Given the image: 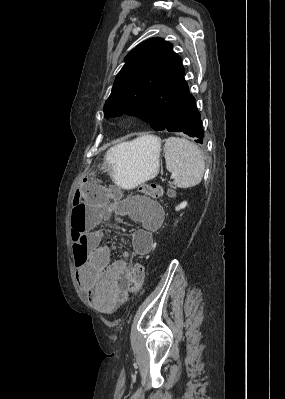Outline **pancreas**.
Returning a JSON list of instances; mask_svg holds the SVG:
<instances>
[{"label": "pancreas", "mask_w": 285, "mask_h": 399, "mask_svg": "<svg viewBox=\"0 0 285 399\" xmlns=\"http://www.w3.org/2000/svg\"><path fill=\"white\" fill-rule=\"evenodd\" d=\"M169 186H170V187H173V183L170 182V183H169Z\"/></svg>", "instance_id": "obj_1"}]
</instances>
